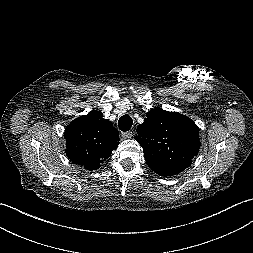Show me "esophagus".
I'll list each match as a JSON object with an SVG mask.
<instances>
[{
    "label": "esophagus",
    "instance_id": "esophagus-1",
    "mask_svg": "<svg viewBox=\"0 0 253 253\" xmlns=\"http://www.w3.org/2000/svg\"><path fill=\"white\" fill-rule=\"evenodd\" d=\"M122 137L125 138V139L126 138H131L132 137V132L131 131L123 132Z\"/></svg>",
    "mask_w": 253,
    "mask_h": 253
}]
</instances>
